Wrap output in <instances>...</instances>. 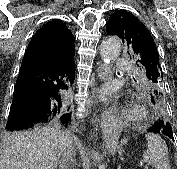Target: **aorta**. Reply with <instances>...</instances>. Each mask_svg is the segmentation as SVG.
Listing matches in <instances>:
<instances>
[{
    "mask_svg": "<svg viewBox=\"0 0 177 169\" xmlns=\"http://www.w3.org/2000/svg\"><path fill=\"white\" fill-rule=\"evenodd\" d=\"M121 51L120 41L115 37H110L103 41L100 46V55L106 64L117 59Z\"/></svg>",
    "mask_w": 177,
    "mask_h": 169,
    "instance_id": "1",
    "label": "aorta"
}]
</instances>
